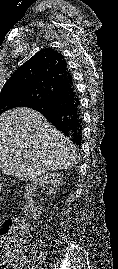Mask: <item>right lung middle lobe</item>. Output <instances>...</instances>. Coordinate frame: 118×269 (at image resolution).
I'll return each mask as SVG.
<instances>
[{"label":"right lung middle lobe","instance_id":"obj_1","mask_svg":"<svg viewBox=\"0 0 118 269\" xmlns=\"http://www.w3.org/2000/svg\"><path fill=\"white\" fill-rule=\"evenodd\" d=\"M34 102H37V98L32 95H24V94L3 95L0 97V114L16 107H28L30 104Z\"/></svg>","mask_w":118,"mask_h":269}]
</instances>
